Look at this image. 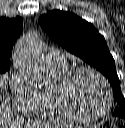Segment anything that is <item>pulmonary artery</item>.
Segmentation results:
<instances>
[{
    "instance_id": "obj_1",
    "label": "pulmonary artery",
    "mask_w": 125,
    "mask_h": 128,
    "mask_svg": "<svg viewBox=\"0 0 125 128\" xmlns=\"http://www.w3.org/2000/svg\"><path fill=\"white\" fill-rule=\"evenodd\" d=\"M66 63V55L57 49H50L46 52L47 65H61Z\"/></svg>"
}]
</instances>
